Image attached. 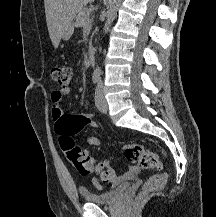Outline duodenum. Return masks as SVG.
Returning <instances> with one entry per match:
<instances>
[{"label": "duodenum", "mask_w": 216, "mask_h": 217, "mask_svg": "<svg viewBox=\"0 0 216 217\" xmlns=\"http://www.w3.org/2000/svg\"><path fill=\"white\" fill-rule=\"evenodd\" d=\"M88 59L91 65L95 62V47L90 45L88 48Z\"/></svg>", "instance_id": "obj_1"}]
</instances>
